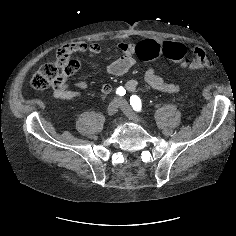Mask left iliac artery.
Masks as SVG:
<instances>
[{"label": "left iliac artery", "instance_id": "44dca946", "mask_svg": "<svg viewBox=\"0 0 236 236\" xmlns=\"http://www.w3.org/2000/svg\"><path fill=\"white\" fill-rule=\"evenodd\" d=\"M130 105L135 111L137 112L141 111L142 103H141L140 98L137 95H132L130 97Z\"/></svg>", "mask_w": 236, "mask_h": 236}]
</instances>
